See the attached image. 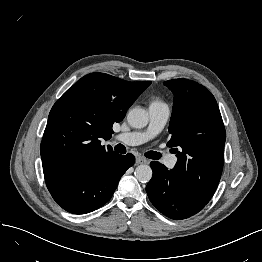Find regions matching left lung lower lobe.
Wrapping results in <instances>:
<instances>
[{
  "instance_id": "left-lung-lower-lobe-1",
  "label": "left lung lower lobe",
  "mask_w": 262,
  "mask_h": 262,
  "mask_svg": "<svg viewBox=\"0 0 262 262\" xmlns=\"http://www.w3.org/2000/svg\"><path fill=\"white\" fill-rule=\"evenodd\" d=\"M150 166L153 177L146 187L147 195L156 209L165 216L182 220L201 211L206 204L202 203L195 194L178 181L163 164L152 161Z\"/></svg>"
}]
</instances>
